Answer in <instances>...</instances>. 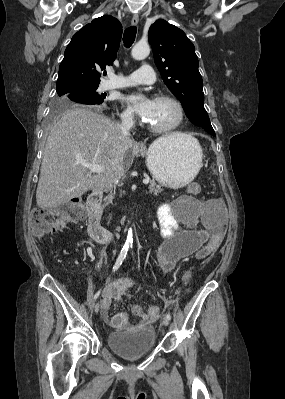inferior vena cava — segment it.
Here are the masks:
<instances>
[{
    "instance_id": "inferior-vena-cava-1",
    "label": "inferior vena cava",
    "mask_w": 285,
    "mask_h": 399,
    "mask_svg": "<svg viewBox=\"0 0 285 399\" xmlns=\"http://www.w3.org/2000/svg\"><path fill=\"white\" fill-rule=\"evenodd\" d=\"M121 120L122 134L124 137H127L129 135L130 129L134 125L133 115L131 113H124L121 115Z\"/></svg>"
}]
</instances>
